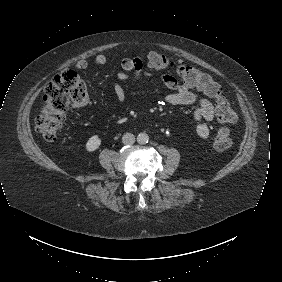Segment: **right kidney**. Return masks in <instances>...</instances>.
<instances>
[{"instance_id":"obj_1","label":"right kidney","mask_w":282,"mask_h":282,"mask_svg":"<svg viewBox=\"0 0 282 282\" xmlns=\"http://www.w3.org/2000/svg\"><path fill=\"white\" fill-rule=\"evenodd\" d=\"M101 144V139L97 136L94 135L86 143V150L89 152L95 151L96 149L99 148Z\"/></svg>"}]
</instances>
